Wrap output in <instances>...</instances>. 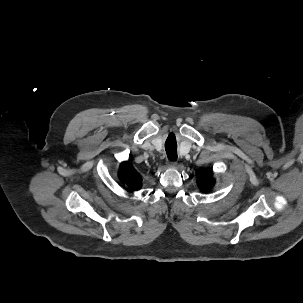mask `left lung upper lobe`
<instances>
[{
  "instance_id": "5c2ea615",
  "label": "left lung upper lobe",
  "mask_w": 303,
  "mask_h": 303,
  "mask_svg": "<svg viewBox=\"0 0 303 303\" xmlns=\"http://www.w3.org/2000/svg\"><path fill=\"white\" fill-rule=\"evenodd\" d=\"M198 185L203 191L210 190L214 185V181L212 180V174L208 172L203 176L199 177Z\"/></svg>"
}]
</instances>
